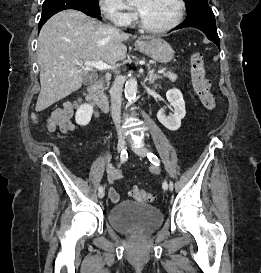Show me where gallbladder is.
Segmentation results:
<instances>
[{
	"instance_id": "obj_1",
	"label": "gallbladder",
	"mask_w": 261,
	"mask_h": 273,
	"mask_svg": "<svg viewBox=\"0 0 261 273\" xmlns=\"http://www.w3.org/2000/svg\"><path fill=\"white\" fill-rule=\"evenodd\" d=\"M83 81H84V83H88L90 80L84 75L83 76Z\"/></svg>"
}]
</instances>
